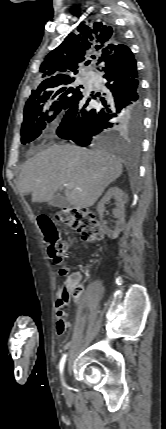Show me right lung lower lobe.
Here are the masks:
<instances>
[{"mask_svg": "<svg viewBox=\"0 0 166 429\" xmlns=\"http://www.w3.org/2000/svg\"><path fill=\"white\" fill-rule=\"evenodd\" d=\"M98 64L107 80V92L89 96L81 93L66 110L56 131L60 138L83 147L99 143L101 134L106 131L127 129L132 135H138L142 129L139 74L130 49L124 45L118 52L103 56ZM96 97L101 105L91 108L89 102Z\"/></svg>", "mask_w": 166, "mask_h": 429, "instance_id": "obj_1", "label": "right lung lower lobe"}]
</instances>
